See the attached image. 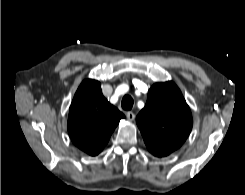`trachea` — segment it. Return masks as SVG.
<instances>
[{
	"instance_id": "1",
	"label": "trachea",
	"mask_w": 245,
	"mask_h": 195,
	"mask_svg": "<svg viewBox=\"0 0 245 195\" xmlns=\"http://www.w3.org/2000/svg\"><path fill=\"white\" fill-rule=\"evenodd\" d=\"M133 98L129 95H125L122 99L121 106L124 110H130L133 107Z\"/></svg>"
}]
</instances>
